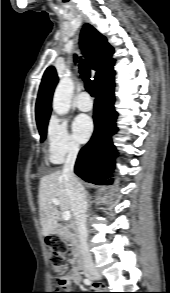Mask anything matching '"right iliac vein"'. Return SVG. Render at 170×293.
I'll return each mask as SVG.
<instances>
[{"label": "right iliac vein", "instance_id": "right-iliac-vein-1", "mask_svg": "<svg viewBox=\"0 0 170 293\" xmlns=\"http://www.w3.org/2000/svg\"><path fill=\"white\" fill-rule=\"evenodd\" d=\"M87 276L91 279H101V274L98 270L94 269L92 271H90Z\"/></svg>", "mask_w": 170, "mask_h": 293}]
</instances>
